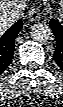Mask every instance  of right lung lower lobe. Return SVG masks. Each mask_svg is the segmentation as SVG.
Here are the masks:
<instances>
[{"label":"right lung lower lobe","mask_w":63,"mask_h":107,"mask_svg":"<svg viewBox=\"0 0 63 107\" xmlns=\"http://www.w3.org/2000/svg\"><path fill=\"white\" fill-rule=\"evenodd\" d=\"M22 25V21L19 20L0 37V74L12 61L15 38L23 27Z\"/></svg>","instance_id":"right-lung-lower-lobe-1"}]
</instances>
